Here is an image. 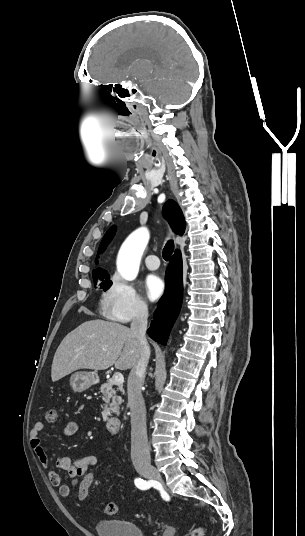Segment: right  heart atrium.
I'll list each match as a JSON object with an SVG mask.
<instances>
[{"mask_svg":"<svg viewBox=\"0 0 305 536\" xmlns=\"http://www.w3.org/2000/svg\"><path fill=\"white\" fill-rule=\"evenodd\" d=\"M102 305L105 317L122 324L146 317L149 313L147 302L135 286L117 276L111 278Z\"/></svg>","mask_w":305,"mask_h":536,"instance_id":"right-heart-atrium-1","label":"right heart atrium"}]
</instances>
